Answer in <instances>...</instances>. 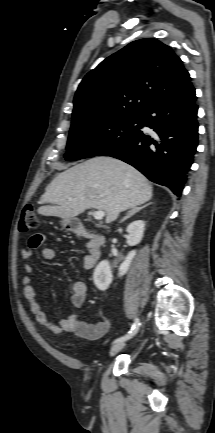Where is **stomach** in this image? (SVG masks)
<instances>
[{"label": "stomach", "instance_id": "1", "mask_svg": "<svg viewBox=\"0 0 215 433\" xmlns=\"http://www.w3.org/2000/svg\"><path fill=\"white\" fill-rule=\"evenodd\" d=\"M61 224L63 225V227H65V228H67L69 230L73 229V226H74V224H73V222H72L71 219H63L61 221Z\"/></svg>", "mask_w": 215, "mask_h": 433}]
</instances>
